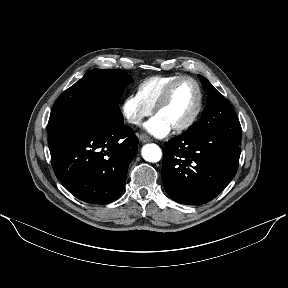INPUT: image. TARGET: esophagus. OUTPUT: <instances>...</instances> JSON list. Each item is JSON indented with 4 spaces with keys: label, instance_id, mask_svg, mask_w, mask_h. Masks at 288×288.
I'll return each instance as SVG.
<instances>
[{
    "label": "esophagus",
    "instance_id": "34e87169",
    "mask_svg": "<svg viewBox=\"0 0 288 288\" xmlns=\"http://www.w3.org/2000/svg\"><path fill=\"white\" fill-rule=\"evenodd\" d=\"M139 140H140L141 142H143V143H147V142H151V141H152V139H151L148 135H146V134H141V135L139 136Z\"/></svg>",
    "mask_w": 288,
    "mask_h": 288
}]
</instances>
